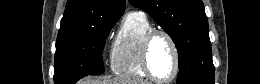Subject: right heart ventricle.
Wrapping results in <instances>:
<instances>
[{
    "label": "right heart ventricle",
    "mask_w": 260,
    "mask_h": 84,
    "mask_svg": "<svg viewBox=\"0 0 260 84\" xmlns=\"http://www.w3.org/2000/svg\"><path fill=\"white\" fill-rule=\"evenodd\" d=\"M153 29L146 14L133 11L126 15L110 53L112 72L130 79L147 78L142 67V41Z\"/></svg>",
    "instance_id": "e07e8e85"
}]
</instances>
